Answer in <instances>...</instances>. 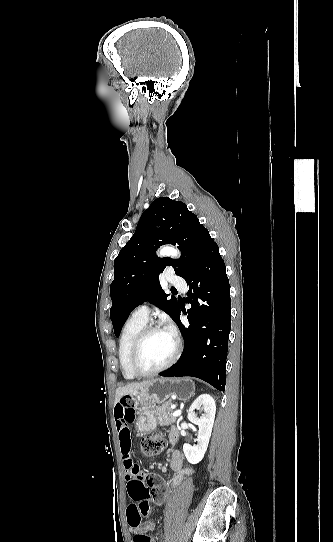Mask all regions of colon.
<instances>
[{
	"label": "colon",
	"mask_w": 333,
	"mask_h": 542,
	"mask_svg": "<svg viewBox=\"0 0 333 542\" xmlns=\"http://www.w3.org/2000/svg\"><path fill=\"white\" fill-rule=\"evenodd\" d=\"M165 442L160 434L150 435L143 438L139 444L140 451L145 457H152L161 453L164 449ZM124 466L127 468V473L132 478L138 479L132 482L126 492V509L127 522L132 525L145 522V517L152 514L150 505H139L141 501H145L150 497V489L157 488L162 484V479L154 473H147L146 480H142V474L138 467L136 458H127ZM140 540L145 541L143 537Z\"/></svg>",
	"instance_id": "5ec220e1"
}]
</instances>
